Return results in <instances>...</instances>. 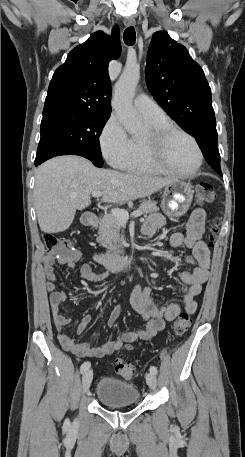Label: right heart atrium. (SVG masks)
<instances>
[{
  "label": "right heart atrium",
  "instance_id": "right-heart-atrium-1",
  "mask_svg": "<svg viewBox=\"0 0 245 457\" xmlns=\"http://www.w3.org/2000/svg\"><path fill=\"white\" fill-rule=\"evenodd\" d=\"M99 141L106 159L115 164L120 162L130 151L131 138L115 115H111L106 121Z\"/></svg>",
  "mask_w": 245,
  "mask_h": 457
}]
</instances>
